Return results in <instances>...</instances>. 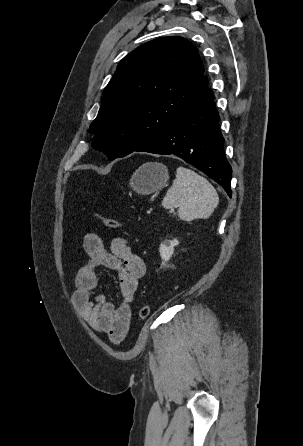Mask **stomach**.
<instances>
[{"mask_svg": "<svg viewBox=\"0 0 303 446\" xmlns=\"http://www.w3.org/2000/svg\"><path fill=\"white\" fill-rule=\"evenodd\" d=\"M169 179L168 168L158 162L141 165L130 179L131 188L138 194H152L164 187Z\"/></svg>", "mask_w": 303, "mask_h": 446, "instance_id": "stomach-1", "label": "stomach"}]
</instances>
